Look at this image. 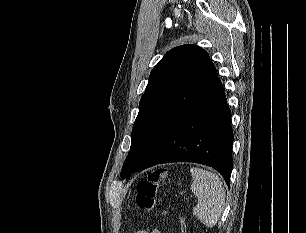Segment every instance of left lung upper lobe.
Listing matches in <instances>:
<instances>
[{"label": "left lung upper lobe", "mask_w": 306, "mask_h": 233, "mask_svg": "<svg viewBox=\"0 0 306 233\" xmlns=\"http://www.w3.org/2000/svg\"><path fill=\"white\" fill-rule=\"evenodd\" d=\"M218 80L207 52L196 45L171 49L151 71L131 133L121 177L128 178L162 138Z\"/></svg>", "instance_id": "obj_1"}]
</instances>
